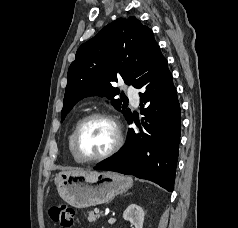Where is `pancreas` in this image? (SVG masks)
Here are the masks:
<instances>
[{
  "label": "pancreas",
  "instance_id": "pancreas-1",
  "mask_svg": "<svg viewBox=\"0 0 238 228\" xmlns=\"http://www.w3.org/2000/svg\"><path fill=\"white\" fill-rule=\"evenodd\" d=\"M99 218V215L95 214L93 211L88 212V221L95 222Z\"/></svg>",
  "mask_w": 238,
  "mask_h": 228
}]
</instances>
